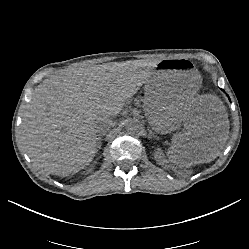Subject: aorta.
<instances>
[{
  "instance_id": "762f6f07",
  "label": "aorta",
  "mask_w": 249,
  "mask_h": 249,
  "mask_svg": "<svg viewBox=\"0 0 249 249\" xmlns=\"http://www.w3.org/2000/svg\"><path fill=\"white\" fill-rule=\"evenodd\" d=\"M125 127L127 132L132 135H139L143 129V126L140 121L136 119H128L125 124Z\"/></svg>"
}]
</instances>
